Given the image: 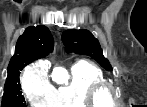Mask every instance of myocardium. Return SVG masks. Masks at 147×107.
I'll use <instances>...</instances> for the list:
<instances>
[{"mask_svg": "<svg viewBox=\"0 0 147 107\" xmlns=\"http://www.w3.org/2000/svg\"><path fill=\"white\" fill-rule=\"evenodd\" d=\"M105 94L109 96L108 102L102 99V96ZM115 95V89L110 83H97L89 89L87 103L90 107H107L110 104L116 103Z\"/></svg>", "mask_w": 147, "mask_h": 107, "instance_id": "1", "label": "myocardium"}]
</instances>
